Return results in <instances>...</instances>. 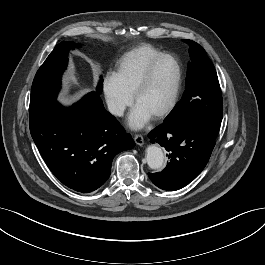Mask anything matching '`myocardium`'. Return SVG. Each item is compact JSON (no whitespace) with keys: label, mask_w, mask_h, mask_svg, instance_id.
<instances>
[{"label":"myocardium","mask_w":265,"mask_h":265,"mask_svg":"<svg viewBox=\"0 0 265 265\" xmlns=\"http://www.w3.org/2000/svg\"><path fill=\"white\" fill-rule=\"evenodd\" d=\"M164 59H171L174 61L177 71L176 83L170 101L163 109H161L152 116L153 119H161L167 116L169 113L172 112V110L175 108V106L178 103L182 88V81H183L182 66L178 58L175 55L169 53H162L159 56L155 57L143 71L131 95L132 102L133 104H135L139 95L144 91V89L148 85L156 66Z\"/></svg>","instance_id":"obj_1"}]
</instances>
